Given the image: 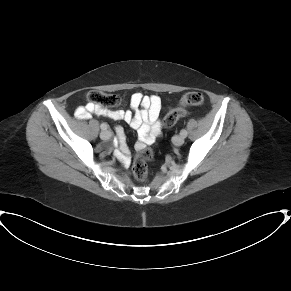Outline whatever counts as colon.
<instances>
[{
    "mask_svg": "<svg viewBox=\"0 0 291 291\" xmlns=\"http://www.w3.org/2000/svg\"><path fill=\"white\" fill-rule=\"evenodd\" d=\"M89 105L105 110L115 107L121 103V98L114 93L92 90L87 94ZM204 97L199 92H188L180 99L179 106L170 109L164 119V126L169 128L174 126L177 121L186 115L184 107L201 105ZM152 158L150 148H142L138 151L133 163V173L138 180H145L148 173L147 163Z\"/></svg>",
    "mask_w": 291,
    "mask_h": 291,
    "instance_id": "colon-1",
    "label": "colon"
}]
</instances>
